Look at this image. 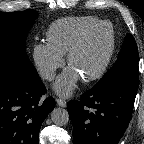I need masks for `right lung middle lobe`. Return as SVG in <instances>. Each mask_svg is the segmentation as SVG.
<instances>
[{
  "label": "right lung middle lobe",
  "instance_id": "right-lung-middle-lobe-1",
  "mask_svg": "<svg viewBox=\"0 0 144 144\" xmlns=\"http://www.w3.org/2000/svg\"><path fill=\"white\" fill-rule=\"evenodd\" d=\"M37 16L35 10L0 12V77L13 76L28 83L39 79L25 44Z\"/></svg>",
  "mask_w": 144,
  "mask_h": 144
}]
</instances>
